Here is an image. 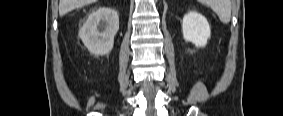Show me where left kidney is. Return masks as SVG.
Here are the masks:
<instances>
[{
  "instance_id": "5707ae66",
  "label": "left kidney",
  "mask_w": 283,
  "mask_h": 116,
  "mask_svg": "<svg viewBox=\"0 0 283 116\" xmlns=\"http://www.w3.org/2000/svg\"><path fill=\"white\" fill-rule=\"evenodd\" d=\"M182 32L185 41L193 43L196 47H204L211 35L207 19L196 11L184 15Z\"/></svg>"
}]
</instances>
